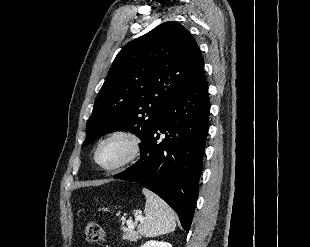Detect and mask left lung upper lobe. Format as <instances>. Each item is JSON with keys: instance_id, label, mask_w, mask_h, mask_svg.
Wrapping results in <instances>:
<instances>
[{"instance_id": "1", "label": "left lung upper lobe", "mask_w": 310, "mask_h": 247, "mask_svg": "<svg viewBox=\"0 0 310 247\" xmlns=\"http://www.w3.org/2000/svg\"><path fill=\"white\" fill-rule=\"evenodd\" d=\"M203 67L196 41L176 22L131 41L117 54L98 93L82 146L116 129L136 134L143 145L168 104Z\"/></svg>"}]
</instances>
